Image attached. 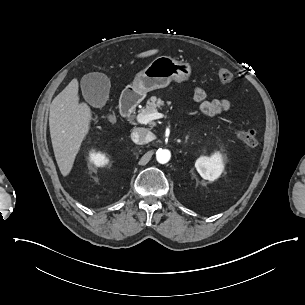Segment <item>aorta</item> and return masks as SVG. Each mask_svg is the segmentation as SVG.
<instances>
[{"label":"aorta","mask_w":305,"mask_h":305,"mask_svg":"<svg viewBox=\"0 0 305 305\" xmlns=\"http://www.w3.org/2000/svg\"><path fill=\"white\" fill-rule=\"evenodd\" d=\"M171 158V153L168 149H159L156 152V159L160 164L167 163Z\"/></svg>","instance_id":"1"}]
</instances>
